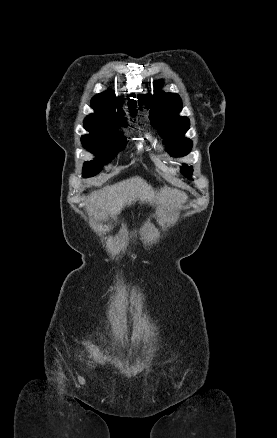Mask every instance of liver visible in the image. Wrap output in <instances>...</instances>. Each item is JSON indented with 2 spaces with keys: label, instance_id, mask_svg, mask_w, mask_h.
<instances>
[{
  "label": "liver",
  "instance_id": "6515ba94",
  "mask_svg": "<svg viewBox=\"0 0 277 438\" xmlns=\"http://www.w3.org/2000/svg\"><path fill=\"white\" fill-rule=\"evenodd\" d=\"M170 194L181 196L178 190H170ZM140 200L142 204L149 202L155 204L158 200L150 186H147L140 178H131L126 182H120L115 186H107L105 192H93L90 198L92 208H101L102 214L109 212L111 216H116L124 206H131L132 202Z\"/></svg>",
  "mask_w": 277,
  "mask_h": 438
}]
</instances>
